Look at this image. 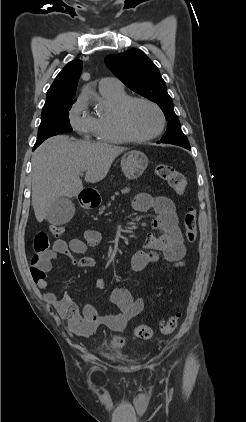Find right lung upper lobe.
<instances>
[{
    "mask_svg": "<svg viewBox=\"0 0 246 422\" xmlns=\"http://www.w3.org/2000/svg\"><path fill=\"white\" fill-rule=\"evenodd\" d=\"M81 71V60L69 62L57 75L53 84L48 89L44 106H50L63 101L75 100L74 96Z\"/></svg>",
    "mask_w": 246,
    "mask_h": 422,
    "instance_id": "right-lung-upper-lobe-1",
    "label": "right lung upper lobe"
}]
</instances>
